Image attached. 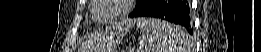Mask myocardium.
I'll return each mask as SVG.
<instances>
[{"instance_id": "f54148a6", "label": "myocardium", "mask_w": 261, "mask_h": 52, "mask_svg": "<svg viewBox=\"0 0 261 52\" xmlns=\"http://www.w3.org/2000/svg\"><path fill=\"white\" fill-rule=\"evenodd\" d=\"M119 5H120V10L119 12L111 19H107V20H101L98 19L97 17V11L98 9L105 5L107 3L106 0H95L96 3V7L93 9L92 11V17L95 21L101 23V24H111L114 22L119 21L120 19L124 18L125 16L128 15V13L130 12V8H131V4L133 3V0H116Z\"/></svg>"}]
</instances>
